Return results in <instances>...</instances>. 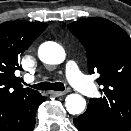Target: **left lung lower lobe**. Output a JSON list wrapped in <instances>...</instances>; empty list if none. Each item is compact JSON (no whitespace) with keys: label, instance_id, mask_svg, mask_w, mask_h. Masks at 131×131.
<instances>
[{"label":"left lung lower lobe","instance_id":"1","mask_svg":"<svg viewBox=\"0 0 131 131\" xmlns=\"http://www.w3.org/2000/svg\"><path fill=\"white\" fill-rule=\"evenodd\" d=\"M74 124L79 131H120L113 128L105 119L99 117L90 109L75 118Z\"/></svg>","mask_w":131,"mask_h":131}]
</instances>
